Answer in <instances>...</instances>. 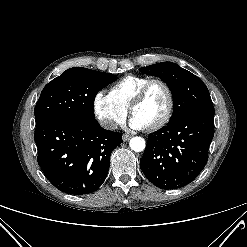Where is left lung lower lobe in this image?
<instances>
[{
  "instance_id": "obj_1",
  "label": "left lung lower lobe",
  "mask_w": 247,
  "mask_h": 247,
  "mask_svg": "<svg viewBox=\"0 0 247 247\" xmlns=\"http://www.w3.org/2000/svg\"><path fill=\"white\" fill-rule=\"evenodd\" d=\"M214 117L186 115L149 135L140 166L161 189L181 188L196 179L208 160Z\"/></svg>"
}]
</instances>
